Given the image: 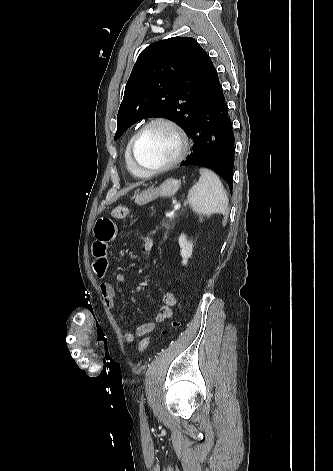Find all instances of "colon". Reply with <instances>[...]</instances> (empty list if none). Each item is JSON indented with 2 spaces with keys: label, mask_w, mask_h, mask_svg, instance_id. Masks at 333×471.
I'll return each mask as SVG.
<instances>
[{
  "label": "colon",
  "mask_w": 333,
  "mask_h": 471,
  "mask_svg": "<svg viewBox=\"0 0 333 471\" xmlns=\"http://www.w3.org/2000/svg\"><path fill=\"white\" fill-rule=\"evenodd\" d=\"M111 214L114 218L122 219L128 216L129 209L126 206H117L112 209ZM170 325L172 327H177L179 323L177 321H172ZM150 341H151L150 337L143 338L141 342L139 343V347H138L139 351L140 352L144 351L148 347Z\"/></svg>",
  "instance_id": "obj_1"
}]
</instances>
